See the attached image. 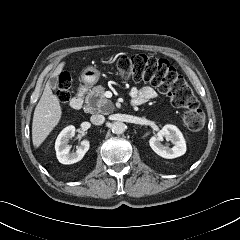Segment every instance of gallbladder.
<instances>
[{"label": "gallbladder", "mask_w": 240, "mask_h": 240, "mask_svg": "<svg viewBox=\"0 0 240 240\" xmlns=\"http://www.w3.org/2000/svg\"><path fill=\"white\" fill-rule=\"evenodd\" d=\"M57 84H58V80H57V78H50V80H49V85H50V88L52 89V90H55L56 89V87H57Z\"/></svg>", "instance_id": "bac80fb5"}]
</instances>
